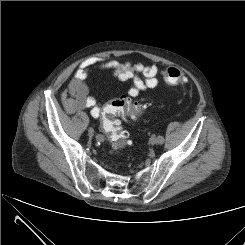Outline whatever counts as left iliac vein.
Returning a JSON list of instances; mask_svg holds the SVG:
<instances>
[{"label": "left iliac vein", "mask_w": 245, "mask_h": 245, "mask_svg": "<svg viewBox=\"0 0 245 245\" xmlns=\"http://www.w3.org/2000/svg\"><path fill=\"white\" fill-rule=\"evenodd\" d=\"M150 144L155 145L158 144L157 142V137L155 135H152L150 140H149Z\"/></svg>", "instance_id": "1"}]
</instances>
